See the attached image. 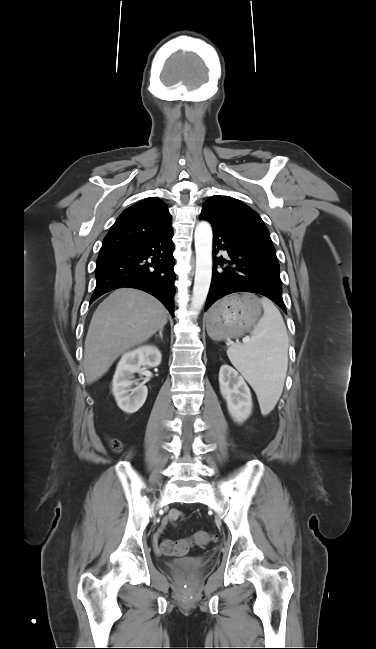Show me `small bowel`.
Listing matches in <instances>:
<instances>
[{"label":"small bowel","mask_w":376,"mask_h":649,"mask_svg":"<svg viewBox=\"0 0 376 649\" xmlns=\"http://www.w3.org/2000/svg\"><path fill=\"white\" fill-rule=\"evenodd\" d=\"M182 517H183V513L181 511L177 510V509H173L169 514V519L172 522H175V521L179 520ZM155 551H156V553H160V550H159L158 547H155Z\"/></svg>","instance_id":"1"}]
</instances>
